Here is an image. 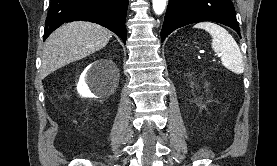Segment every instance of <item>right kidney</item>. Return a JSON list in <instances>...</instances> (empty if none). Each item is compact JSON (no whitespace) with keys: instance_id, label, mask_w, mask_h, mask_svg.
Wrapping results in <instances>:
<instances>
[{"instance_id":"obj_1","label":"right kidney","mask_w":277,"mask_h":166,"mask_svg":"<svg viewBox=\"0 0 277 166\" xmlns=\"http://www.w3.org/2000/svg\"><path fill=\"white\" fill-rule=\"evenodd\" d=\"M105 62L106 60H100L95 62V64L102 65ZM93 75H94V70L91 64L82 73L79 83L77 85V90L80 93V95H82L83 97H94V95L91 93L89 89L90 84L97 85V83L94 81Z\"/></svg>"}]
</instances>
